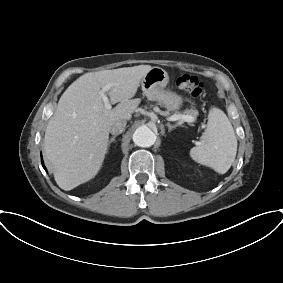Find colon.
I'll return each mask as SVG.
<instances>
[{
  "instance_id": "colon-1",
  "label": "colon",
  "mask_w": 283,
  "mask_h": 283,
  "mask_svg": "<svg viewBox=\"0 0 283 283\" xmlns=\"http://www.w3.org/2000/svg\"><path fill=\"white\" fill-rule=\"evenodd\" d=\"M174 83L177 88L189 93L194 98H202L204 95L203 83L193 75H179L175 78Z\"/></svg>"
}]
</instances>
